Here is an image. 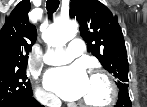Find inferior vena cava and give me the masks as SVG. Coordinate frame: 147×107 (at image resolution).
I'll use <instances>...</instances> for the list:
<instances>
[{
	"instance_id": "1",
	"label": "inferior vena cava",
	"mask_w": 147,
	"mask_h": 107,
	"mask_svg": "<svg viewBox=\"0 0 147 107\" xmlns=\"http://www.w3.org/2000/svg\"><path fill=\"white\" fill-rule=\"evenodd\" d=\"M44 100L48 101L52 107H61V101L53 95H47Z\"/></svg>"
}]
</instances>
